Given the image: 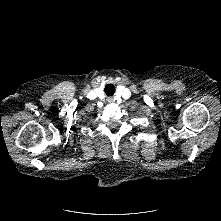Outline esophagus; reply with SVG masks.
<instances>
[{
  "label": "esophagus",
  "mask_w": 221,
  "mask_h": 221,
  "mask_svg": "<svg viewBox=\"0 0 221 221\" xmlns=\"http://www.w3.org/2000/svg\"><path fill=\"white\" fill-rule=\"evenodd\" d=\"M113 101V99L110 97V98H108V102H112Z\"/></svg>",
  "instance_id": "esophagus-1"
}]
</instances>
